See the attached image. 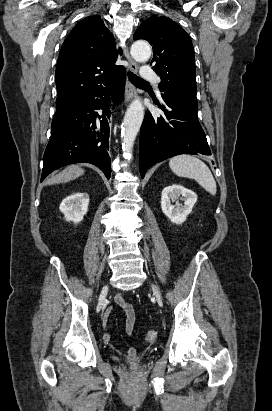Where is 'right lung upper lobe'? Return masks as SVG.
Segmentation results:
<instances>
[{
    "label": "right lung upper lobe",
    "mask_w": 272,
    "mask_h": 411,
    "mask_svg": "<svg viewBox=\"0 0 272 411\" xmlns=\"http://www.w3.org/2000/svg\"><path fill=\"white\" fill-rule=\"evenodd\" d=\"M119 52L100 16H90L76 24L64 41L57 62L56 107L108 84L124 68L115 65Z\"/></svg>",
    "instance_id": "cb5924a9"
}]
</instances>
